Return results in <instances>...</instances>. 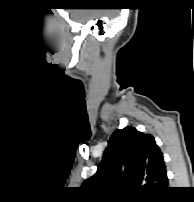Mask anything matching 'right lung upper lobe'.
<instances>
[{"label":"right lung upper lobe","mask_w":194,"mask_h":202,"mask_svg":"<svg viewBox=\"0 0 194 202\" xmlns=\"http://www.w3.org/2000/svg\"><path fill=\"white\" fill-rule=\"evenodd\" d=\"M83 185L100 193L158 195L168 185L163 154L152 135L131 126L116 130L96 174Z\"/></svg>","instance_id":"cb5924a9"}]
</instances>
